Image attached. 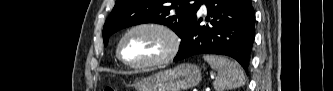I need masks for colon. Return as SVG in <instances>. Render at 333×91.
<instances>
[{
	"label": "colon",
	"mask_w": 333,
	"mask_h": 91,
	"mask_svg": "<svg viewBox=\"0 0 333 91\" xmlns=\"http://www.w3.org/2000/svg\"><path fill=\"white\" fill-rule=\"evenodd\" d=\"M117 87L115 85H108L105 88V91H117Z\"/></svg>",
	"instance_id": "obj_1"
}]
</instances>
